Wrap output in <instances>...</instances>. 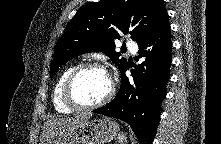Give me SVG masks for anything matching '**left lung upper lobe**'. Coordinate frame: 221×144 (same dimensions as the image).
I'll list each match as a JSON object with an SVG mask.
<instances>
[{"instance_id": "obj_1", "label": "left lung upper lobe", "mask_w": 221, "mask_h": 144, "mask_svg": "<svg viewBox=\"0 0 221 144\" xmlns=\"http://www.w3.org/2000/svg\"><path fill=\"white\" fill-rule=\"evenodd\" d=\"M166 13L163 0H100L80 7L57 43L51 77L70 59L92 51L105 53L121 70L127 60L115 51V40L129 33L139 43Z\"/></svg>"}]
</instances>
